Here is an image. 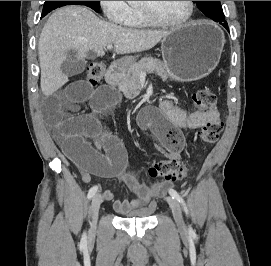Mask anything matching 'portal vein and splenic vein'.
Returning a JSON list of instances; mask_svg holds the SVG:
<instances>
[{
	"label": "portal vein and splenic vein",
	"mask_w": 271,
	"mask_h": 266,
	"mask_svg": "<svg viewBox=\"0 0 271 266\" xmlns=\"http://www.w3.org/2000/svg\"><path fill=\"white\" fill-rule=\"evenodd\" d=\"M112 48H113L112 45H108V46H107V49H109V50H111Z\"/></svg>",
	"instance_id": "obj_1"
}]
</instances>
